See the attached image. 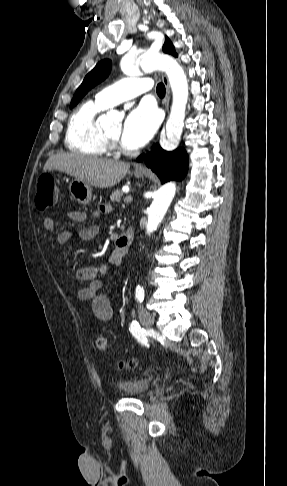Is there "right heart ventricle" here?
I'll return each mask as SVG.
<instances>
[{
    "instance_id": "1",
    "label": "right heart ventricle",
    "mask_w": 287,
    "mask_h": 486,
    "mask_svg": "<svg viewBox=\"0 0 287 486\" xmlns=\"http://www.w3.org/2000/svg\"><path fill=\"white\" fill-rule=\"evenodd\" d=\"M106 109L96 100H89L79 106L68 122L65 143L69 150L83 155L102 157L109 153L97 117Z\"/></svg>"
}]
</instances>
